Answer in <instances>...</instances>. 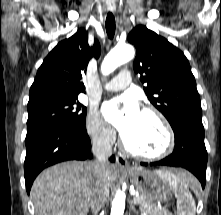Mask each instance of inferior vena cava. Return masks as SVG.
I'll list each match as a JSON object with an SVG mask.
<instances>
[{
  "instance_id": "1",
  "label": "inferior vena cava",
  "mask_w": 221,
  "mask_h": 215,
  "mask_svg": "<svg viewBox=\"0 0 221 215\" xmlns=\"http://www.w3.org/2000/svg\"><path fill=\"white\" fill-rule=\"evenodd\" d=\"M92 152L96 157L93 163V174L96 178V187L91 199V211L97 215L103 208L108 196L109 187L106 183V165L107 158L112 155V148L109 138L105 132L99 137L94 138L92 142Z\"/></svg>"
}]
</instances>
